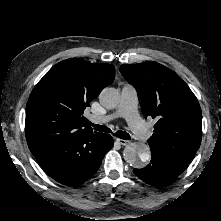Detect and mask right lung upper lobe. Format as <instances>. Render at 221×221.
Returning a JSON list of instances; mask_svg holds the SVG:
<instances>
[{
  "instance_id": "cb5924a9",
  "label": "right lung upper lobe",
  "mask_w": 221,
  "mask_h": 221,
  "mask_svg": "<svg viewBox=\"0 0 221 221\" xmlns=\"http://www.w3.org/2000/svg\"><path fill=\"white\" fill-rule=\"evenodd\" d=\"M114 77L113 65L78 58L53 66L34 87L26 105L25 134L32 154L93 133L83 121V111Z\"/></svg>"
}]
</instances>
